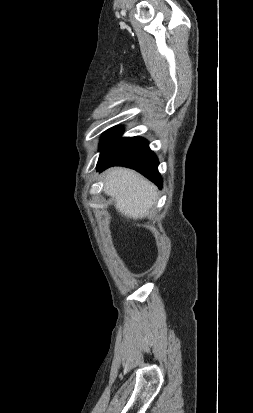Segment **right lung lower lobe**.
<instances>
[{
	"instance_id": "obj_1",
	"label": "right lung lower lobe",
	"mask_w": 253,
	"mask_h": 413,
	"mask_svg": "<svg viewBox=\"0 0 253 413\" xmlns=\"http://www.w3.org/2000/svg\"><path fill=\"white\" fill-rule=\"evenodd\" d=\"M158 159L150 150L148 142L140 137H131L122 142L107 156L99 159L97 170L103 171L111 166H125L137 170L162 187V178L158 172Z\"/></svg>"
}]
</instances>
